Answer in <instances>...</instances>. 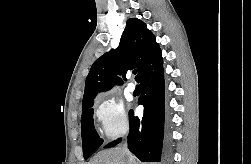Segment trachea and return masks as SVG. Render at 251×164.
<instances>
[{"label":"trachea","mask_w":251,"mask_h":164,"mask_svg":"<svg viewBox=\"0 0 251 164\" xmlns=\"http://www.w3.org/2000/svg\"><path fill=\"white\" fill-rule=\"evenodd\" d=\"M137 73V70H133V74L135 75Z\"/></svg>","instance_id":"obj_1"}]
</instances>
